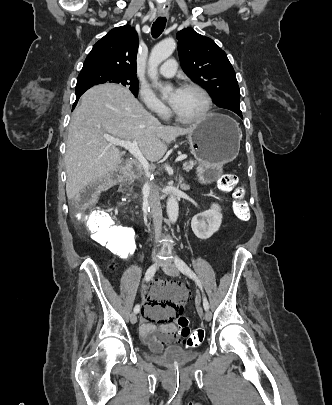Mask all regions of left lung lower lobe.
<instances>
[{
  "label": "left lung lower lobe",
  "mask_w": 332,
  "mask_h": 405,
  "mask_svg": "<svg viewBox=\"0 0 332 405\" xmlns=\"http://www.w3.org/2000/svg\"><path fill=\"white\" fill-rule=\"evenodd\" d=\"M234 109H235V111H233V112H235L236 114H238L242 118V112L240 110L239 104L236 105V107Z\"/></svg>",
  "instance_id": "1"
}]
</instances>
